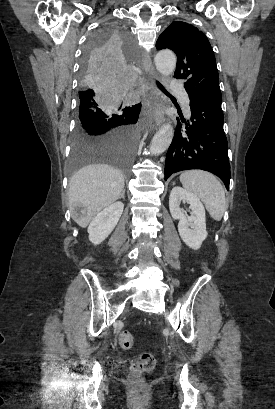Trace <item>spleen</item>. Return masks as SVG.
Returning <instances> with one entry per match:
<instances>
[{"label": "spleen", "instance_id": "obj_1", "mask_svg": "<svg viewBox=\"0 0 275 409\" xmlns=\"http://www.w3.org/2000/svg\"><path fill=\"white\" fill-rule=\"evenodd\" d=\"M180 180L190 192L203 200L210 217L221 221L226 209L225 190L218 178L206 170H186Z\"/></svg>", "mask_w": 275, "mask_h": 409}]
</instances>
